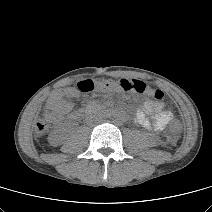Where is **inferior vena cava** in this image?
I'll return each instance as SVG.
<instances>
[{"label": "inferior vena cava", "mask_w": 212, "mask_h": 212, "mask_svg": "<svg viewBox=\"0 0 212 212\" xmlns=\"http://www.w3.org/2000/svg\"><path fill=\"white\" fill-rule=\"evenodd\" d=\"M100 120L101 119L99 117H96V116L86 118V122L88 124H93V123L99 122Z\"/></svg>", "instance_id": "1"}]
</instances>
